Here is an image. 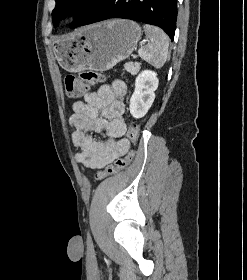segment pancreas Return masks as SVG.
<instances>
[{
    "label": "pancreas",
    "mask_w": 247,
    "mask_h": 280,
    "mask_svg": "<svg viewBox=\"0 0 247 280\" xmlns=\"http://www.w3.org/2000/svg\"><path fill=\"white\" fill-rule=\"evenodd\" d=\"M124 68L127 72L131 73L132 75H136L140 69V63L129 62L125 64Z\"/></svg>",
    "instance_id": "pancreas-1"
}]
</instances>
